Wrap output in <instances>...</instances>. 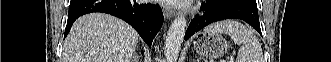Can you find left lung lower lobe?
Returning a JSON list of instances; mask_svg holds the SVG:
<instances>
[{"instance_id":"1","label":"left lung lower lobe","mask_w":331,"mask_h":62,"mask_svg":"<svg viewBox=\"0 0 331 62\" xmlns=\"http://www.w3.org/2000/svg\"><path fill=\"white\" fill-rule=\"evenodd\" d=\"M203 5L204 13L190 22L185 40L203 27L224 19H241L261 34L256 0H206Z\"/></svg>"}]
</instances>
